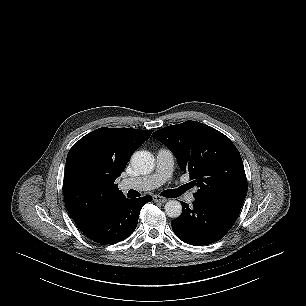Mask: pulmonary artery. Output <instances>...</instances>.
I'll return each instance as SVG.
<instances>
[{
  "label": "pulmonary artery",
  "instance_id": "1",
  "mask_svg": "<svg viewBox=\"0 0 306 306\" xmlns=\"http://www.w3.org/2000/svg\"><path fill=\"white\" fill-rule=\"evenodd\" d=\"M174 155L169 149H159L156 154V167L152 174L124 179L120 182L121 190L136 189V190H152L162 185L173 171ZM185 201L192 203L194 201L193 192L185 196Z\"/></svg>",
  "mask_w": 306,
  "mask_h": 306
}]
</instances>
